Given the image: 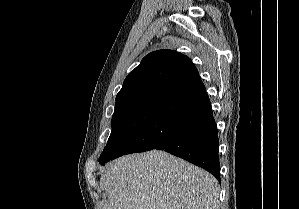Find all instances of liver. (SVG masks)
Here are the masks:
<instances>
[{
    "instance_id": "1",
    "label": "liver",
    "mask_w": 299,
    "mask_h": 209,
    "mask_svg": "<svg viewBox=\"0 0 299 209\" xmlns=\"http://www.w3.org/2000/svg\"><path fill=\"white\" fill-rule=\"evenodd\" d=\"M102 209H219V186L207 171L165 151L111 162L100 178Z\"/></svg>"
}]
</instances>
